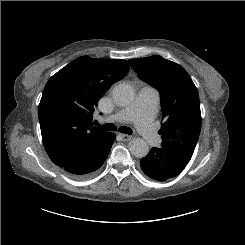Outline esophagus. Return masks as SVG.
I'll list each match as a JSON object with an SVG mask.
<instances>
[{"label": "esophagus", "mask_w": 245, "mask_h": 245, "mask_svg": "<svg viewBox=\"0 0 245 245\" xmlns=\"http://www.w3.org/2000/svg\"><path fill=\"white\" fill-rule=\"evenodd\" d=\"M118 135L125 141L130 140L131 136L123 133H118Z\"/></svg>", "instance_id": "obj_1"}]
</instances>
